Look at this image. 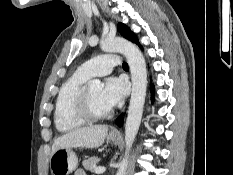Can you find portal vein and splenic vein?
<instances>
[{
    "mask_svg": "<svg viewBox=\"0 0 233 175\" xmlns=\"http://www.w3.org/2000/svg\"><path fill=\"white\" fill-rule=\"evenodd\" d=\"M105 170H106V168H105V167H103V166L96 167V169H95V173H96V174H101V173H104V172H105Z\"/></svg>",
    "mask_w": 233,
    "mask_h": 175,
    "instance_id": "1",
    "label": "portal vein and splenic vein"
}]
</instances>
